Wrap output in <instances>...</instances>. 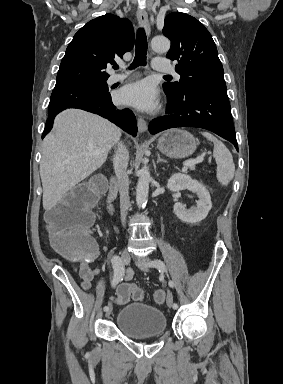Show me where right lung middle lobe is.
Segmentation results:
<instances>
[{"instance_id": "dd1d6c3e", "label": "right lung middle lobe", "mask_w": 283, "mask_h": 384, "mask_svg": "<svg viewBox=\"0 0 283 384\" xmlns=\"http://www.w3.org/2000/svg\"><path fill=\"white\" fill-rule=\"evenodd\" d=\"M106 81L54 88L49 108H61L78 102L109 97Z\"/></svg>"}]
</instances>
